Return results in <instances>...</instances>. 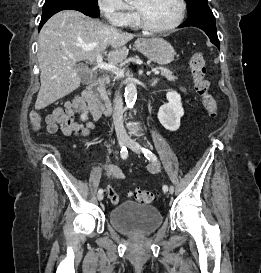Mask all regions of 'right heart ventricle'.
<instances>
[{
    "label": "right heart ventricle",
    "instance_id": "1",
    "mask_svg": "<svg viewBox=\"0 0 261 273\" xmlns=\"http://www.w3.org/2000/svg\"><path fill=\"white\" fill-rule=\"evenodd\" d=\"M128 25L131 26V27H135V28H137L138 26H140L135 14L132 15V17H131Z\"/></svg>",
    "mask_w": 261,
    "mask_h": 273
}]
</instances>
